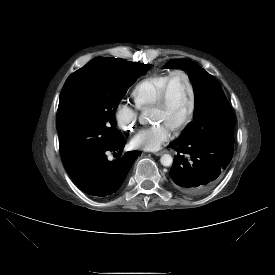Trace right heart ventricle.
I'll return each instance as SVG.
<instances>
[{"label":"right heart ventricle","instance_id":"e07e8e85","mask_svg":"<svg viewBox=\"0 0 275 275\" xmlns=\"http://www.w3.org/2000/svg\"><path fill=\"white\" fill-rule=\"evenodd\" d=\"M170 73H157L143 78L132 89V98L138 109L151 107L156 102Z\"/></svg>","mask_w":275,"mask_h":275}]
</instances>
